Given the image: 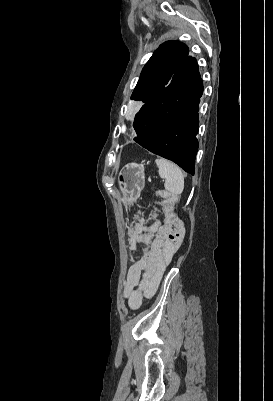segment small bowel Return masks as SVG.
<instances>
[{
    "label": "small bowel",
    "instance_id": "c3829d8e",
    "mask_svg": "<svg viewBox=\"0 0 273 401\" xmlns=\"http://www.w3.org/2000/svg\"><path fill=\"white\" fill-rule=\"evenodd\" d=\"M128 248L134 251L143 245L142 255L129 267L123 283L122 297L131 309H138L145 298L156 293L165 269L178 250L180 241H154L155 228H166L158 218H151L150 228L141 215H131ZM147 279V280H146Z\"/></svg>",
    "mask_w": 273,
    "mask_h": 401
}]
</instances>
